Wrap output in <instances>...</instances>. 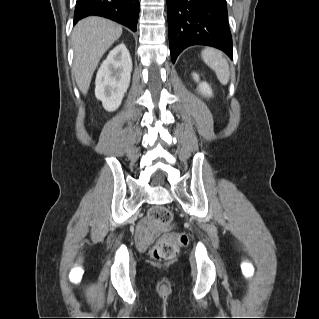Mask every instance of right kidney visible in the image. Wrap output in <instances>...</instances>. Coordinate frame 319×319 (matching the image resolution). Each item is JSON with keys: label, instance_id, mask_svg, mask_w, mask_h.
<instances>
[{"label": "right kidney", "instance_id": "ca27d5eb", "mask_svg": "<svg viewBox=\"0 0 319 319\" xmlns=\"http://www.w3.org/2000/svg\"><path fill=\"white\" fill-rule=\"evenodd\" d=\"M132 59L121 43L110 51L101 64L95 80V96L105 110L112 112L120 106L131 78Z\"/></svg>", "mask_w": 319, "mask_h": 319}]
</instances>
